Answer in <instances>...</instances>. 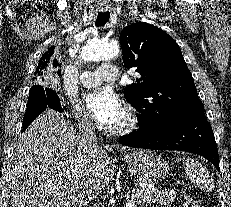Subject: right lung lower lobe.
<instances>
[{"mask_svg": "<svg viewBox=\"0 0 231 207\" xmlns=\"http://www.w3.org/2000/svg\"><path fill=\"white\" fill-rule=\"evenodd\" d=\"M47 107L59 112L63 111L56 93L49 88H43L36 92L34 99L27 105V110L23 119V131Z\"/></svg>", "mask_w": 231, "mask_h": 207, "instance_id": "1", "label": "right lung lower lobe"}]
</instances>
